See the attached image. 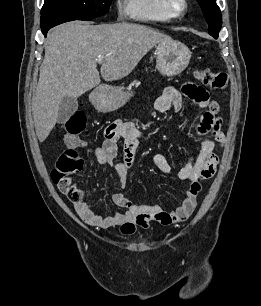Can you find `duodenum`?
Here are the masks:
<instances>
[{
	"mask_svg": "<svg viewBox=\"0 0 261 306\" xmlns=\"http://www.w3.org/2000/svg\"><path fill=\"white\" fill-rule=\"evenodd\" d=\"M106 93H107L106 88L102 87V88L98 89V91L96 93V98L101 99L106 95Z\"/></svg>",
	"mask_w": 261,
	"mask_h": 306,
	"instance_id": "obj_1",
	"label": "duodenum"
}]
</instances>
